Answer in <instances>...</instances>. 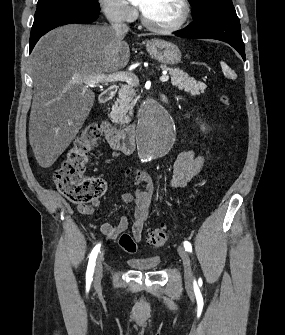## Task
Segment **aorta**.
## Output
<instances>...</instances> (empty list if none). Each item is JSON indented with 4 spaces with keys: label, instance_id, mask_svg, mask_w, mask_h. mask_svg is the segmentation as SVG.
<instances>
[{
    "label": "aorta",
    "instance_id": "762f6f07",
    "mask_svg": "<svg viewBox=\"0 0 285 335\" xmlns=\"http://www.w3.org/2000/svg\"><path fill=\"white\" fill-rule=\"evenodd\" d=\"M139 111L140 125L133 128V133L139 137L137 146L142 147L141 155L146 160H161L176 146L177 119H171V112H165L161 100H142Z\"/></svg>",
    "mask_w": 285,
    "mask_h": 335
}]
</instances>
